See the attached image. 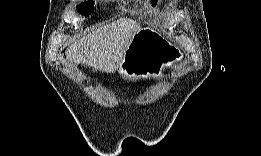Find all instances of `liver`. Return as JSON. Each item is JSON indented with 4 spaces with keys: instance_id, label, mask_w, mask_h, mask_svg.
Here are the masks:
<instances>
[{
    "instance_id": "6515ba94",
    "label": "liver",
    "mask_w": 261,
    "mask_h": 156,
    "mask_svg": "<svg viewBox=\"0 0 261 156\" xmlns=\"http://www.w3.org/2000/svg\"><path fill=\"white\" fill-rule=\"evenodd\" d=\"M140 24L133 19H120L73 40L66 60L92 67L93 71L114 73L121 65Z\"/></svg>"
}]
</instances>
